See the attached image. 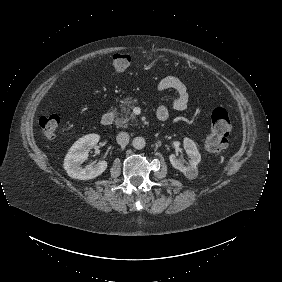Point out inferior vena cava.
I'll list each match as a JSON object with an SVG mask.
<instances>
[{
  "label": "inferior vena cava",
  "instance_id": "1",
  "mask_svg": "<svg viewBox=\"0 0 282 282\" xmlns=\"http://www.w3.org/2000/svg\"><path fill=\"white\" fill-rule=\"evenodd\" d=\"M116 139H117V143L119 145L125 146V145L128 144L130 136L127 132H120V133H118Z\"/></svg>",
  "mask_w": 282,
  "mask_h": 282
}]
</instances>
